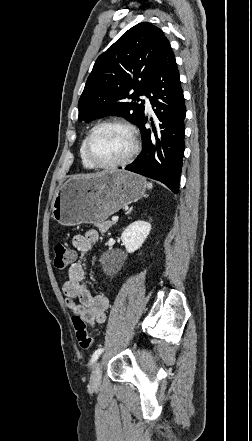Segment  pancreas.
<instances>
[{
  "label": "pancreas",
  "instance_id": "pancreas-1",
  "mask_svg": "<svg viewBox=\"0 0 252 441\" xmlns=\"http://www.w3.org/2000/svg\"><path fill=\"white\" fill-rule=\"evenodd\" d=\"M114 225L113 221H98L95 222V226L99 229V231L101 232V234H104L107 232V230Z\"/></svg>",
  "mask_w": 252,
  "mask_h": 441
}]
</instances>
